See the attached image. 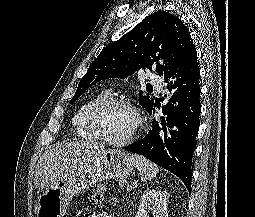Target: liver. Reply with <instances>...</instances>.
Returning <instances> with one entry per match:
<instances>
[{
  "label": "liver",
  "instance_id": "liver-1",
  "mask_svg": "<svg viewBox=\"0 0 255 217\" xmlns=\"http://www.w3.org/2000/svg\"><path fill=\"white\" fill-rule=\"evenodd\" d=\"M104 152L102 144L90 141L68 142L50 147L38 161L34 185L43 190L70 173L80 170L86 162L96 159Z\"/></svg>",
  "mask_w": 255,
  "mask_h": 217
}]
</instances>
